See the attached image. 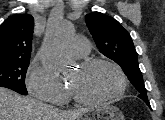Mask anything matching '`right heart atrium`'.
Wrapping results in <instances>:
<instances>
[{"instance_id":"right-heart-atrium-1","label":"right heart atrium","mask_w":165,"mask_h":120,"mask_svg":"<svg viewBox=\"0 0 165 120\" xmlns=\"http://www.w3.org/2000/svg\"><path fill=\"white\" fill-rule=\"evenodd\" d=\"M26 85L33 97L45 102L62 104L68 98L67 88L36 62L28 70Z\"/></svg>"}]
</instances>
